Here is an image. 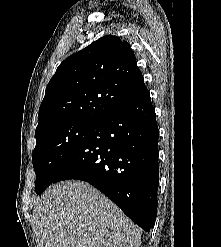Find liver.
<instances>
[{
	"label": "liver",
	"mask_w": 221,
	"mask_h": 247,
	"mask_svg": "<svg viewBox=\"0 0 221 247\" xmlns=\"http://www.w3.org/2000/svg\"><path fill=\"white\" fill-rule=\"evenodd\" d=\"M38 247H139L136 226L90 184L52 185L33 211Z\"/></svg>",
	"instance_id": "liver-1"
}]
</instances>
